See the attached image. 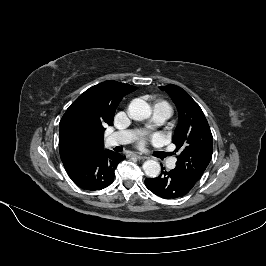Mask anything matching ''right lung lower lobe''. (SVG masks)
<instances>
[{"mask_svg": "<svg viewBox=\"0 0 266 266\" xmlns=\"http://www.w3.org/2000/svg\"><path fill=\"white\" fill-rule=\"evenodd\" d=\"M125 157L111 150L96 151L72 165L66 172L72 181L85 190H101L114 180V171Z\"/></svg>", "mask_w": 266, "mask_h": 266, "instance_id": "98d812e1", "label": "right lung lower lobe"}]
</instances>
